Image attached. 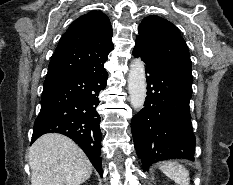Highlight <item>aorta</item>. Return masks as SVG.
<instances>
[{
  "mask_svg": "<svg viewBox=\"0 0 233 185\" xmlns=\"http://www.w3.org/2000/svg\"><path fill=\"white\" fill-rule=\"evenodd\" d=\"M146 77L145 67L141 59H135L128 74V92L132 107L140 111L146 98Z\"/></svg>",
  "mask_w": 233,
  "mask_h": 185,
  "instance_id": "aorta-1",
  "label": "aorta"
}]
</instances>
